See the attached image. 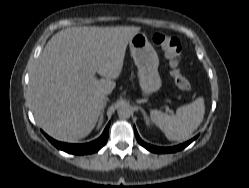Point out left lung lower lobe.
Segmentation results:
<instances>
[{
	"instance_id": "obj_1",
	"label": "left lung lower lobe",
	"mask_w": 249,
	"mask_h": 188,
	"mask_svg": "<svg viewBox=\"0 0 249 188\" xmlns=\"http://www.w3.org/2000/svg\"><path fill=\"white\" fill-rule=\"evenodd\" d=\"M135 130V136L138 140V142L143 146L145 147L147 150L151 151V152H155V153H169V152H176V151H179L183 148H185L186 146H188L193 140H195L197 137L191 139L190 141L184 143V144H181V145H178V146H174V147H168V148H161V147H156V146H152V145H149L147 143H145L144 141L141 140V138L139 137L137 131H136V128H134Z\"/></svg>"
}]
</instances>
